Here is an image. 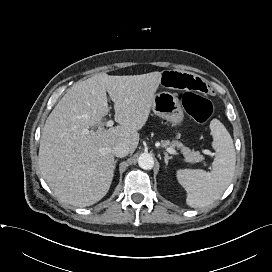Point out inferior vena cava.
<instances>
[{
  "label": "inferior vena cava",
  "mask_w": 272,
  "mask_h": 272,
  "mask_svg": "<svg viewBox=\"0 0 272 272\" xmlns=\"http://www.w3.org/2000/svg\"><path fill=\"white\" fill-rule=\"evenodd\" d=\"M130 149L126 144H118L113 147L112 153L116 157H125L129 154Z\"/></svg>",
  "instance_id": "inferior-vena-cava-1"
}]
</instances>
